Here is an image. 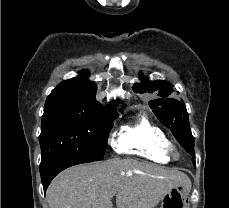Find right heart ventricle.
<instances>
[{"label": "right heart ventricle", "instance_id": "e07e8e85", "mask_svg": "<svg viewBox=\"0 0 229 208\" xmlns=\"http://www.w3.org/2000/svg\"><path fill=\"white\" fill-rule=\"evenodd\" d=\"M169 142V137L159 126L145 115H139L134 123L121 129L114 147L122 154L157 164H168L172 160L167 152Z\"/></svg>", "mask_w": 229, "mask_h": 208}]
</instances>
